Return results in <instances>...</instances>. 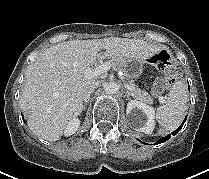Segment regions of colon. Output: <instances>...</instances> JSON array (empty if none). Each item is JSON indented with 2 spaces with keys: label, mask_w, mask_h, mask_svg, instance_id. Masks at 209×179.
Segmentation results:
<instances>
[{
  "label": "colon",
  "mask_w": 209,
  "mask_h": 179,
  "mask_svg": "<svg viewBox=\"0 0 209 179\" xmlns=\"http://www.w3.org/2000/svg\"><path fill=\"white\" fill-rule=\"evenodd\" d=\"M149 61L151 63L155 64L161 70L169 69L168 75L166 78L167 85H171V84L175 83L180 78L181 70L179 68H177V67L169 68L170 60H169V56L166 52L161 51V52L153 55Z\"/></svg>",
  "instance_id": "5ec220e1"
}]
</instances>
